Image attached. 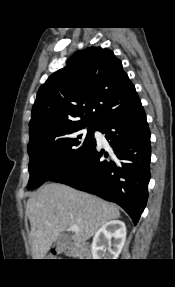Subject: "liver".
I'll return each instance as SVG.
<instances>
[{
	"label": "liver",
	"mask_w": 175,
	"mask_h": 287,
	"mask_svg": "<svg viewBox=\"0 0 175 287\" xmlns=\"http://www.w3.org/2000/svg\"><path fill=\"white\" fill-rule=\"evenodd\" d=\"M33 259H44L52 243L76 224L72 239L85 243L108 221L120 217L118 208L96 196L69 186L49 183L27 201Z\"/></svg>",
	"instance_id": "liver-1"
}]
</instances>
